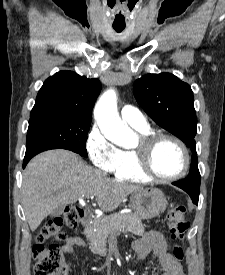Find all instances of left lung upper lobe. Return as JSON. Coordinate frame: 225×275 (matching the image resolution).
I'll return each mask as SVG.
<instances>
[{"label": "left lung upper lobe", "mask_w": 225, "mask_h": 275, "mask_svg": "<svg viewBox=\"0 0 225 275\" xmlns=\"http://www.w3.org/2000/svg\"><path fill=\"white\" fill-rule=\"evenodd\" d=\"M139 105L162 128L193 151L189 176L200 178L194 137L197 117L190 86L171 73L147 74L134 83Z\"/></svg>", "instance_id": "left-lung-upper-lobe-1"}]
</instances>
